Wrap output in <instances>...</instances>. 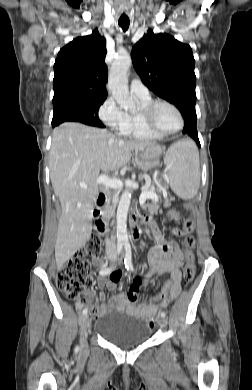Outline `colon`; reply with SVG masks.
<instances>
[{
    "label": "colon",
    "mask_w": 252,
    "mask_h": 390,
    "mask_svg": "<svg viewBox=\"0 0 252 390\" xmlns=\"http://www.w3.org/2000/svg\"><path fill=\"white\" fill-rule=\"evenodd\" d=\"M168 217L179 221L180 216L175 211H169ZM194 228L192 218H187L183 222L181 231L174 230L176 234L183 235L182 245L185 251L187 263L183 270V278L186 284L190 283L195 276V239L191 234ZM103 250L102 239L99 234H93L88 241L77 251L76 255L62 265L57 272L58 287L71 299L77 300L82 305L88 304L89 296L86 291L91 286L90 278V258H97ZM89 313L92 317L99 315V309L92 304L88 305ZM149 324L153 325V317L148 318Z\"/></svg>",
    "instance_id": "5ec220e1"
}]
</instances>
